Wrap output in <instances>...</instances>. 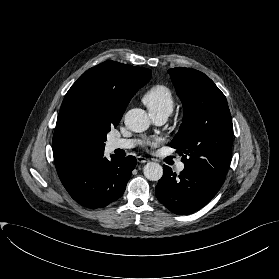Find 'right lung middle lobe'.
Returning a JSON list of instances; mask_svg holds the SVG:
<instances>
[{"label":"right lung middle lobe","mask_w":279,"mask_h":279,"mask_svg":"<svg viewBox=\"0 0 279 279\" xmlns=\"http://www.w3.org/2000/svg\"><path fill=\"white\" fill-rule=\"evenodd\" d=\"M118 123L92 114L79 97L72 98L64 118L61 136L64 144L77 155L102 151L106 135Z\"/></svg>","instance_id":"right-lung-middle-lobe-1"}]
</instances>
